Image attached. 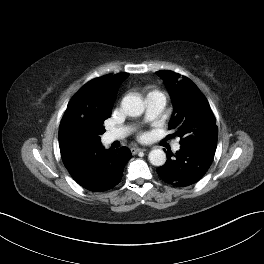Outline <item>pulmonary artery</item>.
<instances>
[{
    "label": "pulmonary artery",
    "instance_id": "obj_1",
    "mask_svg": "<svg viewBox=\"0 0 264 264\" xmlns=\"http://www.w3.org/2000/svg\"><path fill=\"white\" fill-rule=\"evenodd\" d=\"M146 120L157 118L164 110L166 105V97L163 93L154 91L146 97ZM129 132L128 127H119L108 131L105 134L107 143L123 138ZM180 148L179 143L174 144L173 149L176 151Z\"/></svg>",
    "mask_w": 264,
    "mask_h": 264
}]
</instances>
